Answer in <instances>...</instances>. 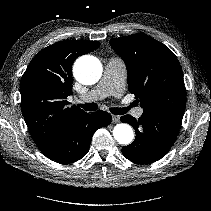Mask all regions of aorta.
Instances as JSON below:
<instances>
[{"label": "aorta", "instance_id": "1", "mask_svg": "<svg viewBox=\"0 0 211 211\" xmlns=\"http://www.w3.org/2000/svg\"><path fill=\"white\" fill-rule=\"evenodd\" d=\"M74 77L84 85L95 84L101 77L102 65L93 56H82L74 64ZM115 140L123 145H128L134 138L132 127L126 123L117 124L113 130Z\"/></svg>", "mask_w": 211, "mask_h": 211}]
</instances>
